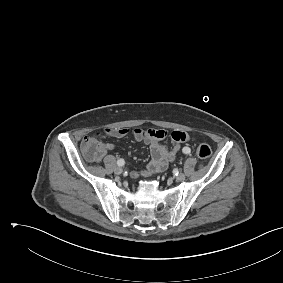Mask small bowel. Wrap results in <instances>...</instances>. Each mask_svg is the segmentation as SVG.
<instances>
[{"mask_svg":"<svg viewBox=\"0 0 283 283\" xmlns=\"http://www.w3.org/2000/svg\"><path fill=\"white\" fill-rule=\"evenodd\" d=\"M103 134L104 136L115 138H123L127 135H131L134 140L141 141L149 145L151 160L146 165L145 169L132 172L131 177L133 178L138 176L149 177L165 170L169 163L177 156L181 144L191 139V137L183 131H173L171 134H168L165 130L151 128H136L133 130H129L127 128L105 129ZM168 136L171 138L170 146L163 143V140ZM114 148V143H105L103 145V154L107 151L114 150Z\"/></svg>","mask_w":283,"mask_h":283,"instance_id":"1","label":"small bowel"}]
</instances>
